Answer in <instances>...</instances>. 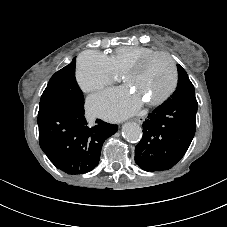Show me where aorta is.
Segmentation results:
<instances>
[{
	"label": "aorta",
	"mask_w": 227,
	"mask_h": 227,
	"mask_svg": "<svg viewBox=\"0 0 227 227\" xmlns=\"http://www.w3.org/2000/svg\"><path fill=\"white\" fill-rule=\"evenodd\" d=\"M122 135L128 141L136 143L142 138V129L138 124L128 122L122 127Z\"/></svg>",
	"instance_id": "1"
}]
</instances>
